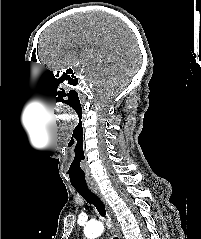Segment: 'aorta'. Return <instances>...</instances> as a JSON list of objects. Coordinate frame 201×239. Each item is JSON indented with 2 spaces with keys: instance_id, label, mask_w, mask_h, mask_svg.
Masks as SVG:
<instances>
[{
  "instance_id": "762f6f07",
  "label": "aorta",
  "mask_w": 201,
  "mask_h": 239,
  "mask_svg": "<svg viewBox=\"0 0 201 239\" xmlns=\"http://www.w3.org/2000/svg\"><path fill=\"white\" fill-rule=\"evenodd\" d=\"M104 231V225L101 222H90L84 228V234L88 239L99 237Z\"/></svg>"
}]
</instances>
